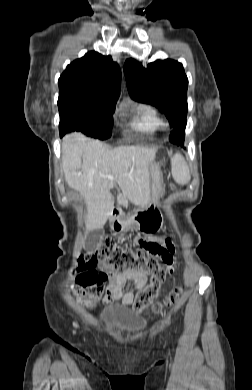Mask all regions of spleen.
I'll return each instance as SVG.
<instances>
[{
	"label": "spleen",
	"instance_id": "1",
	"mask_svg": "<svg viewBox=\"0 0 252 390\" xmlns=\"http://www.w3.org/2000/svg\"><path fill=\"white\" fill-rule=\"evenodd\" d=\"M171 166L172 176L178 184L185 185L190 181L189 168L180 154H175L171 160Z\"/></svg>",
	"mask_w": 252,
	"mask_h": 390
}]
</instances>
